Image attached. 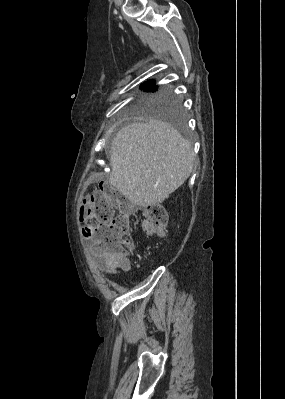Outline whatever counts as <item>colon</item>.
Here are the masks:
<instances>
[{
  "mask_svg": "<svg viewBox=\"0 0 285 399\" xmlns=\"http://www.w3.org/2000/svg\"><path fill=\"white\" fill-rule=\"evenodd\" d=\"M123 206L117 190L102 182L97 189L82 197L79 210L82 220L97 222L94 224L93 241L106 257L119 266L125 265L133 248L131 216H138L147 231L158 235L167 232V215L161 205L136 208L130 214L114 216L113 210Z\"/></svg>",
  "mask_w": 285,
  "mask_h": 399,
  "instance_id": "5ec220e1",
  "label": "colon"
}]
</instances>
